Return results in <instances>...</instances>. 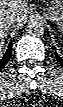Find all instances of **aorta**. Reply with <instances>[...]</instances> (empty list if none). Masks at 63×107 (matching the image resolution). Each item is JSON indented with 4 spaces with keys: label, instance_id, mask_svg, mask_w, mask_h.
Masks as SVG:
<instances>
[{
    "label": "aorta",
    "instance_id": "762f6f07",
    "mask_svg": "<svg viewBox=\"0 0 63 107\" xmlns=\"http://www.w3.org/2000/svg\"><path fill=\"white\" fill-rule=\"evenodd\" d=\"M27 32L34 37L43 35L45 32L44 22L38 19L30 20L27 25Z\"/></svg>",
    "mask_w": 63,
    "mask_h": 107
}]
</instances>
